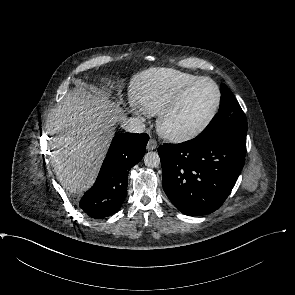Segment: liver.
I'll use <instances>...</instances> for the list:
<instances>
[{"instance_id": "obj_1", "label": "liver", "mask_w": 295, "mask_h": 295, "mask_svg": "<svg viewBox=\"0 0 295 295\" xmlns=\"http://www.w3.org/2000/svg\"><path fill=\"white\" fill-rule=\"evenodd\" d=\"M69 92L47 118L51 163L60 184L69 192H84L95 182L112 139V127L124 119L118 104L105 91L92 88Z\"/></svg>"}]
</instances>
